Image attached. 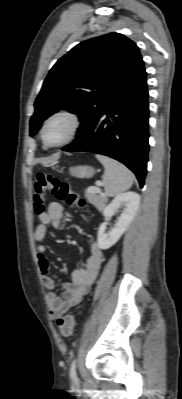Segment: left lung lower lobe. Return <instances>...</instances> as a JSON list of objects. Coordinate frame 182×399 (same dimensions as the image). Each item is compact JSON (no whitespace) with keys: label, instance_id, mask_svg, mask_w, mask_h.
I'll return each instance as SVG.
<instances>
[{"label":"left lung lower lobe","instance_id":"1","mask_svg":"<svg viewBox=\"0 0 182 399\" xmlns=\"http://www.w3.org/2000/svg\"><path fill=\"white\" fill-rule=\"evenodd\" d=\"M148 106L143 67L113 94L84 135L62 150L94 152L114 158L132 170L143 187L149 151Z\"/></svg>","mask_w":182,"mask_h":399}]
</instances>
